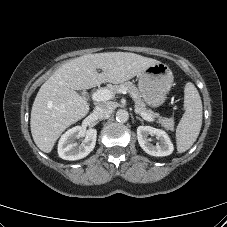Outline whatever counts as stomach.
<instances>
[{
  "instance_id": "stomach-1",
  "label": "stomach",
  "mask_w": 227,
  "mask_h": 227,
  "mask_svg": "<svg viewBox=\"0 0 227 227\" xmlns=\"http://www.w3.org/2000/svg\"><path fill=\"white\" fill-rule=\"evenodd\" d=\"M138 88L143 101L150 107L157 108L167 99L173 85V74L168 65L157 63L138 74Z\"/></svg>"
}]
</instances>
